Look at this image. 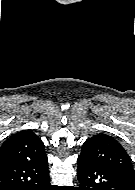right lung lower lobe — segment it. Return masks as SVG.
Returning <instances> with one entry per match:
<instances>
[{
  "mask_svg": "<svg viewBox=\"0 0 135 190\" xmlns=\"http://www.w3.org/2000/svg\"><path fill=\"white\" fill-rule=\"evenodd\" d=\"M0 190H54L47 157L0 165Z\"/></svg>",
  "mask_w": 135,
  "mask_h": 190,
  "instance_id": "right-lung-lower-lobe-1",
  "label": "right lung lower lobe"
}]
</instances>
